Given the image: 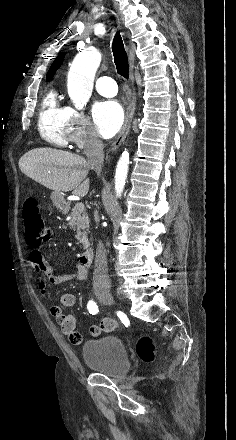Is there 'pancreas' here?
<instances>
[{"instance_id": "1", "label": "pancreas", "mask_w": 236, "mask_h": 440, "mask_svg": "<svg viewBox=\"0 0 236 440\" xmlns=\"http://www.w3.org/2000/svg\"><path fill=\"white\" fill-rule=\"evenodd\" d=\"M69 217V226L76 231L77 240L82 244V248L86 249L88 246L87 234L89 228V217L87 213L78 211L74 207Z\"/></svg>"}]
</instances>
